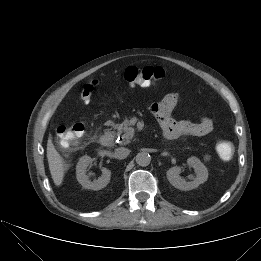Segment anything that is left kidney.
I'll list each match as a JSON object with an SVG mask.
<instances>
[{"instance_id": "5707ae66", "label": "left kidney", "mask_w": 261, "mask_h": 261, "mask_svg": "<svg viewBox=\"0 0 261 261\" xmlns=\"http://www.w3.org/2000/svg\"><path fill=\"white\" fill-rule=\"evenodd\" d=\"M187 165L194 168L196 177L191 181H186L180 176L181 167H172L167 171L168 181L177 189L189 191L197 188L200 184L208 179V170L206 166L197 158L190 157L187 159Z\"/></svg>"}]
</instances>
